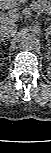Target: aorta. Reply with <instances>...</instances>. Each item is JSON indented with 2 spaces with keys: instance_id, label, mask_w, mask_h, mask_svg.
I'll list each match as a JSON object with an SVG mask.
<instances>
[{
  "instance_id": "obj_1",
  "label": "aorta",
  "mask_w": 51,
  "mask_h": 153,
  "mask_svg": "<svg viewBox=\"0 0 51 153\" xmlns=\"http://www.w3.org/2000/svg\"><path fill=\"white\" fill-rule=\"evenodd\" d=\"M37 36L31 32H22L18 38V48L21 50H31L37 43Z\"/></svg>"
}]
</instances>
